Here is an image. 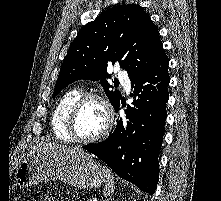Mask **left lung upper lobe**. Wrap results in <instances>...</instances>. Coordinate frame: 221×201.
<instances>
[{
  "instance_id": "obj_1",
  "label": "left lung upper lobe",
  "mask_w": 221,
  "mask_h": 201,
  "mask_svg": "<svg viewBox=\"0 0 221 201\" xmlns=\"http://www.w3.org/2000/svg\"><path fill=\"white\" fill-rule=\"evenodd\" d=\"M163 54L159 31L142 7L127 4L110 8L85 25L70 44L52 96L76 80H100L115 106L121 93L110 90L107 66L119 63L131 80L148 70Z\"/></svg>"
}]
</instances>
